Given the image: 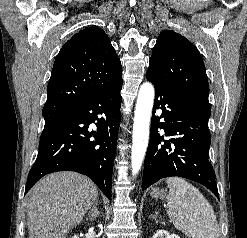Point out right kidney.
<instances>
[{
  "mask_svg": "<svg viewBox=\"0 0 247 238\" xmlns=\"http://www.w3.org/2000/svg\"><path fill=\"white\" fill-rule=\"evenodd\" d=\"M72 238H78V236L74 235Z\"/></svg>",
  "mask_w": 247,
  "mask_h": 238,
  "instance_id": "1",
  "label": "right kidney"
}]
</instances>
